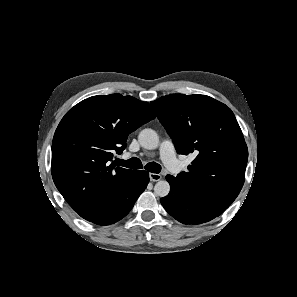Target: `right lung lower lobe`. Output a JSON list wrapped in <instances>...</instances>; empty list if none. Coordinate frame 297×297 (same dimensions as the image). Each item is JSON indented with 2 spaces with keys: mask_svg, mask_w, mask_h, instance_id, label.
<instances>
[{
  "mask_svg": "<svg viewBox=\"0 0 297 297\" xmlns=\"http://www.w3.org/2000/svg\"><path fill=\"white\" fill-rule=\"evenodd\" d=\"M148 172L134 170L130 178L119 188L104 207L90 220L98 225H109L121 220L132 209L135 201L146 189Z\"/></svg>",
  "mask_w": 297,
  "mask_h": 297,
  "instance_id": "98d812e1",
  "label": "right lung lower lobe"
}]
</instances>
